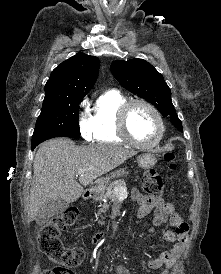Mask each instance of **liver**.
Returning <instances> with one entry per match:
<instances>
[{
    "label": "liver",
    "mask_w": 221,
    "mask_h": 274,
    "mask_svg": "<svg viewBox=\"0 0 221 274\" xmlns=\"http://www.w3.org/2000/svg\"><path fill=\"white\" fill-rule=\"evenodd\" d=\"M137 152L111 145L76 146L71 140L52 139L39 147L33 162L28 220L36 219L49 200L76 201L83 186L123 164ZM84 170L76 181L78 171Z\"/></svg>",
    "instance_id": "1"
}]
</instances>
